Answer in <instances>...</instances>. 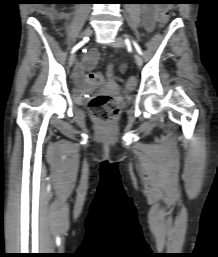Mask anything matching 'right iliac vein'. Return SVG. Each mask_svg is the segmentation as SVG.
<instances>
[{
	"mask_svg": "<svg viewBox=\"0 0 218 257\" xmlns=\"http://www.w3.org/2000/svg\"><path fill=\"white\" fill-rule=\"evenodd\" d=\"M92 34V29L91 28H86L83 33H82V37H88ZM75 58H76V54L73 53L70 58H69V66H72L74 64V61H75Z\"/></svg>",
	"mask_w": 218,
	"mask_h": 257,
	"instance_id": "right-iliac-vein-1",
	"label": "right iliac vein"
}]
</instances>
